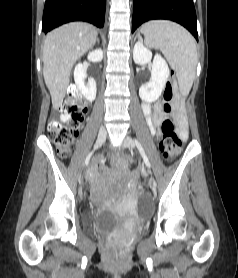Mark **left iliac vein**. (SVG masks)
<instances>
[{
  "instance_id": "4c4485c4",
  "label": "left iliac vein",
  "mask_w": 238,
  "mask_h": 278,
  "mask_svg": "<svg viewBox=\"0 0 238 278\" xmlns=\"http://www.w3.org/2000/svg\"><path fill=\"white\" fill-rule=\"evenodd\" d=\"M123 143H124V145H125L127 148H129V149H131V148L134 147V141H133V139H132L130 136H128V135H126V136L124 137ZM156 185H157V184H156V181H155V180L151 181V187H152L153 190H156V187H155Z\"/></svg>"
}]
</instances>
